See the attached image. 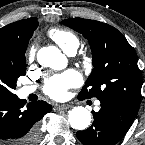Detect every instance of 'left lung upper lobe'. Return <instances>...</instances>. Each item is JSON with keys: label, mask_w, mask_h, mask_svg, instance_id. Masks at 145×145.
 I'll return each instance as SVG.
<instances>
[{"label": "left lung upper lobe", "mask_w": 145, "mask_h": 145, "mask_svg": "<svg viewBox=\"0 0 145 145\" xmlns=\"http://www.w3.org/2000/svg\"><path fill=\"white\" fill-rule=\"evenodd\" d=\"M62 23L88 39L92 50L94 68L79 96L138 110L142 75L135 51L122 33L95 20L71 18Z\"/></svg>", "instance_id": "obj_1"}]
</instances>
